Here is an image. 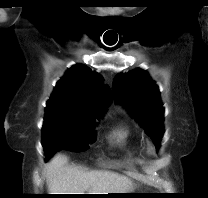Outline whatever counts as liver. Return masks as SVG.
Listing matches in <instances>:
<instances>
[{
    "label": "liver",
    "instance_id": "obj_1",
    "mask_svg": "<svg viewBox=\"0 0 208 198\" xmlns=\"http://www.w3.org/2000/svg\"><path fill=\"white\" fill-rule=\"evenodd\" d=\"M50 194H111L134 190L131 179L107 170L81 171L68 164L65 155H55L44 172ZM88 192V193H85Z\"/></svg>",
    "mask_w": 208,
    "mask_h": 198
}]
</instances>
